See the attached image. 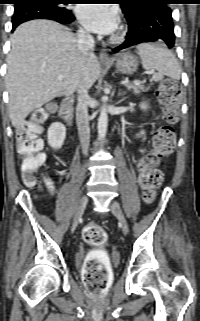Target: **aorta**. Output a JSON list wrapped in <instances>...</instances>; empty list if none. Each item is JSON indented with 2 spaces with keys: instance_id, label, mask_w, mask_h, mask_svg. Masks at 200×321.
<instances>
[{
  "instance_id": "obj_1",
  "label": "aorta",
  "mask_w": 200,
  "mask_h": 321,
  "mask_svg": "<svg viewBox=\"0 0 200 321\" xmlns=\"http://www.w3.org/2000/svg\"><path fill=\"white\" fill-rule=\"evenodd\" d=\"M107 126H108V115H107L106 108L103 107L100 110V115L98 118V125H97L98 135L100 139L105 138L107 133Z\"/></svg>"
}]
</instances>
